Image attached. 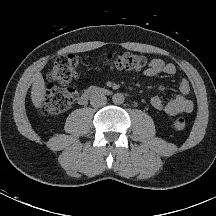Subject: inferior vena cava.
Wrapping results in <instances>:
<instances>
[{
  "mask_svg": "<svg viewBox=\"0 0 216 216\" xmlns=\"http://www.w3.org/2000/svg\"><path fill=\"white\" fill-rule=\"evenodd\" d=\"M107 103V97L104 94H94L90 98V104L95 108H100Z\"/></svg>",
  "mask_w": 216,
  "mask_h": 216,
  "instance_id": "inferior-vena-cava-1",
  "label": "inferior vena cava"
}]
</instances>
